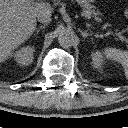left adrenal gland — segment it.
I'll return each mask as SVG.
<instances>
[{
  "instance_id": "1",
  "label": "left adrenal gland",
  "mask_w": 128,
  "mask_h": 128,
  "mask_svg": "<svg viewBox=\"0 0 128 128\" xmlns=\"http://www.w3.org/2000/svg\"><path fill=\"white\" fill-rule=\"evenodd\" d=\"M79 32L82 34V37L84 39H86L88 36H92V34L88 33L86 30L83 31V30L79 29Z\"/></svg>"
}]
</instances>
